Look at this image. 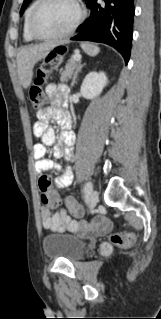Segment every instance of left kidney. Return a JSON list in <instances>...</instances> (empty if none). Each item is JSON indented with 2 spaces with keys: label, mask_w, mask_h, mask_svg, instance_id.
Returning <instances> with one entry per match:
<instances>
[{
  "label": "left kidney",
  "mask_w": 161,
  "mask_h": 319,
  "mask_svg": "<svg viewBox=\"0 0 161 319\" xmlns=\"http://www.w3.org/2000/svg\"><path fill=\"white\" fill-rule=\"evenodd\" d=\"M107 82L108 80L104 72H90L83 80L80 93L86 99H93L102 92Z\"/></svg>",
  "instance_id": "obj_1"
}]
</instances>
